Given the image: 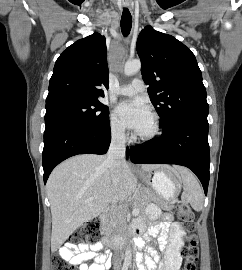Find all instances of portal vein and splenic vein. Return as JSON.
Wrapping results in <instances>:
<instances>
[{
	"mask_svg": "<svg viewBox=\"0 0 242 270\" xmlns=\"http://www.w3.org/2000/svg\"><path fill=\"white\" fill-rule=\"evenodd\" d=\"M89 200H93V197H91ZM176 200H174L173 202H175ZM133 214H138L139 213V209L138 208H134L133 209Z\"/></svg>",
	"mask_w": 242,
	"mask_h": 270,
	"instance_id": "obj_1",
	"label": "portal vein and splenic vein"
}]
</instances>
